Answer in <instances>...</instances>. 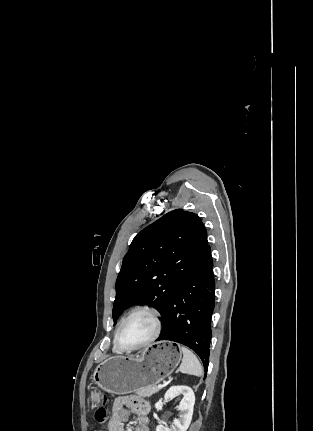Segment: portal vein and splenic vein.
Segmentation results:
<instances>
[{"mask_svg":"<svg viewBox=\"0 0 313 431\" xmlns=\"http://www.w3.org/2000/svg\"><path fill=\"white\" fill-rule=\"evenodd\" d=\"M164 387V385H162V384H159L158 386H157V388L158 389H162Z\"/></svg>","mask_w":313,"mask_h":431,"instance_id":"portal-vein-and-splenic-vein-1","label":"portal vein and splenic vein"}]
</instances>
